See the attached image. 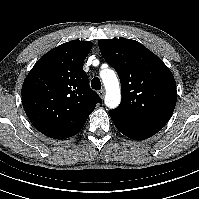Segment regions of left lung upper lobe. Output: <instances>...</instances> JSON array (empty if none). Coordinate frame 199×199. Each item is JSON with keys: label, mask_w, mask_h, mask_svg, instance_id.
Listing matches in <instances>:
<instances>
[{"label": "left lung upper lobe", "mask_w": 199, "mask_h": 199, "mask_svg": "<svg viewBox=\"0 0 199 199\" xmlns=\"http://www.w3.org/2000/svg\"><path fill=\"white\" fill-rule=\"evenodd\" d=\"M103 58L117 71L122 89L114 109L128 120L160 131L170 119L177 101L176 82L163 61L131 39H102Z\"/></svg>", "instance_id": "left-lung-upper-lobe-1"}]
</instances>
